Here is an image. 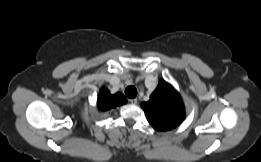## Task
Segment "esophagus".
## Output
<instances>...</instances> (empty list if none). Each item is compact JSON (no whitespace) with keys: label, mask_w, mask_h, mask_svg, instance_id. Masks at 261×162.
<instances>
[{"label":"esophagus","mask_w":261,"mask_h":162,"mask_svg":"<svg viewBox=\"0 0 261 162\" xmlns=\"http://www.w3.org/2000/svg\"><path fill=\"white\" fill-rule=\"evenodd\" d=\"M131 104H137L138 100L137 98H133L129 100Z\"/></svg>","instance_id":"34e87169"}]
</instances>
